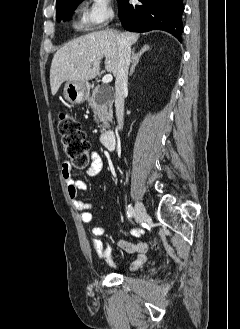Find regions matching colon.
I'll use <instances>...</instances> for the list:
<instances>
[{
	"instance_id": "5ec220e1",
	"label": "colon",
	"mask_w": 240,
	"mask_h": 329,
	"mask_svg": "<svg viewBox=\"0 0 240 329\" xmlns=\"http://www.w3.org/2000/svg\"><path fill=\"white\" fill-rule=\"evenodd\" d=\"M64 153L73 167L85 169L89 165L90 144L79 122L71 115L62 113L58 123Z\"/></svg>"
}]
</instances>
